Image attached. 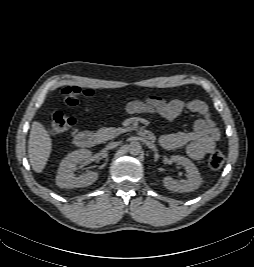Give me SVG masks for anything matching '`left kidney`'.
Here are the masks:
<instances>
[{
	"mask_svg": "<svg viewBox=\"0 0 254 267\" xmlns=\"http://www.w3.org/2000/svg\"><path fill=\"white\" fill-rule=\"evenodd\" d=\"M171 162L179 163L186 170V180L177 181L167 176L163 179V184L166 189L174 192H191L198 189L202 183V178L197 167L192 161L186 157L180 155H174L171 157Z\"/></svg>",
	"mask_w": 254,
	"mask_h": 267,
	"instance_id": "5707ae66",
	"label": "left kidney"
}]
</instances>
